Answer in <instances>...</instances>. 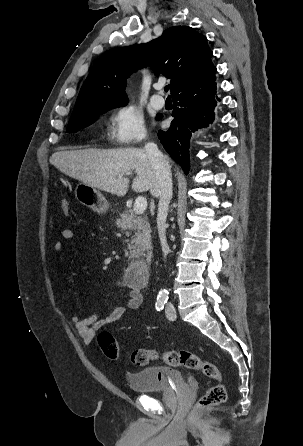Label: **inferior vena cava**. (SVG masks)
<instances>
[{"mask_svg":"<svg viewBox=\"0 0 303 446\" xmlns=\"http://www.w3.org/2000/svg\"><path fill=\"white\" fill-rule=\"evenodd\" d=\"M145 152L149 158L155 177L158 183V215H157V228L161 242L162 251L164 257H166L169 247L166 240V218L168 213V207L172 198V175L170 165L167 157L163 155L156 144L147 143L144 147Z\"/></svg>","mask_w":303,"mask_h":446,"instance_id":"obj_1","label":"inferior vena cava"}]
</instances>
